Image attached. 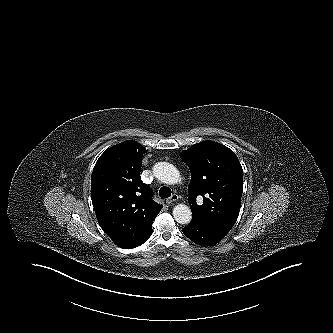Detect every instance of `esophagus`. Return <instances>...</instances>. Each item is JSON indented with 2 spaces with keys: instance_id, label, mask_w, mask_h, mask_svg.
I'll list each match as a JSON object with an SVG mask.
<instances>
[{
  "instance_id": "esophagus-1",
  "label": "esophagus",
  "mask_w": 333,
  "mask_h": 333,
  "mask_svg": "<svg viewBox=\"0 0 333 333\" xmlns=\"http://www.w3.org/2000/svg\"><path fill=\"white\" fill-rule=\"evenodd\" d=\"M177 200H178V195L173 194L166 200V203L169 205L176 202Z\"/></svg>"
}]
</instances>
